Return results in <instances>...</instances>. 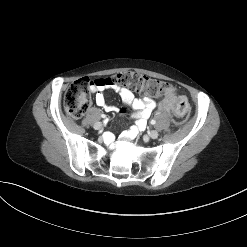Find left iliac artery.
Returning <instances> with one entry per match:
<instances>
[{
    "label": "left iliac artery",
    "instance_id": "1",
    "mask_svg": "<svg viewBox=\"0 0 247 247\" xmlns=\"http://www.w3.org/2000/svg\"><path fill=\"white\" fill-rule=\"evenodd\" d=\"M150 123H151L152 125H154V124L156 123V121H155L154 119H152V120L150 121Z\"/></svg>",
    "mask_w": 247,
    "mask_h": 247
}]
</instances>
